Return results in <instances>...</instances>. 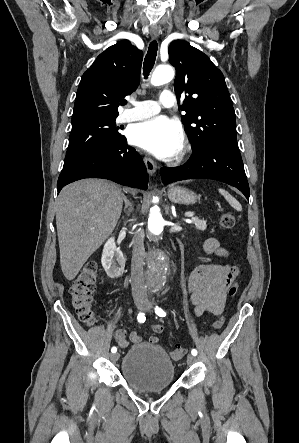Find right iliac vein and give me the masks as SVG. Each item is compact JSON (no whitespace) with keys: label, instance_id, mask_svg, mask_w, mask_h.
<instances>
[{"label":"right iliac vein","instance_id":"right-iliac-vein-1","mask_svg":"<svg viewBox=\"0 0 299 443\" xmlns=\"http://www.w3.org/2000/svg\"><path fill=\"white\" fill-rule=\"evenodd\" d=\"M137 305H138L139 309L143 308V305L141 303H138ZM118 359H119V353H114V354L111 355V360L113 362H116Z\"/></svg>","mask_w":299,"mask_h":443}]
</instances>
